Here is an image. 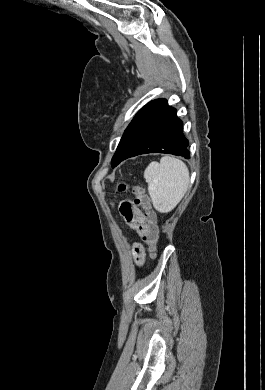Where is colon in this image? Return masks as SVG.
<instances>
[{"mask_svg": "<svg viewBox=\"0 0 265 390\" xmlns=\"http://www.w3.org/2000/svg\"><path fill=\"white\" fill-rule=\"evenodd\" d=\"M125 189V184H120L118 187L119 191H124ZM132 192L134 195V203L145 210V220L151 226V233L149 238L147 239V244L149 246L151 255L155 257L156 245L159 239V232L156 225V215L150 209L149 198L141 186H133Z\"/></svg>", "mask_w": 265, "mask_h": 390, "instance_id": "obj_1", "label": "colon"}]
</instances>
